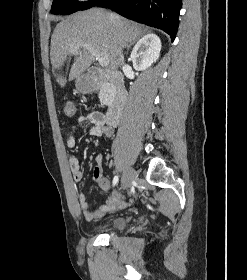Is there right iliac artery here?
<instances>
[{
  "mask_svg": "<svg viewBox=\"0 0 247 280\" xmlns=\"http://www.w3.org/2000/svg\"><path fill=\"white\" fill-rule=\"evenodd\" d=\"M118 180H119L118 176H115V177L113 178V182H112L113 187L117 185Z\"/></svg>",
  "mask_w": 247,
  "mask_h": 280,
  "instance_id": "1",
  "label": "right iliac artery"
}]
</instances>
